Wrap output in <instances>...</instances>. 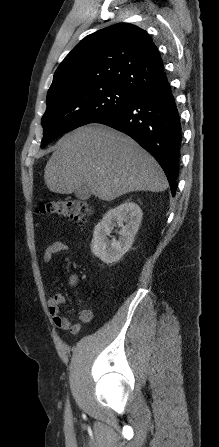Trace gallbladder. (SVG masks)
Masks as SVG:
<instances>
[{"label":"gallbladder","instance_id":"1","mask_svg":"<svg viewBox=\"0 0 219 447\" xmlns=\"http://www.w3.org/2000/svg\"><path fill=\"white\" fill-rule=\"evenodd\" d=\"M75 196L80 200H88L91 197V190L87 185H82L79 189L74 191Z\"/></svg>","mask_w":219,"mask_h":447}]
</instances>
